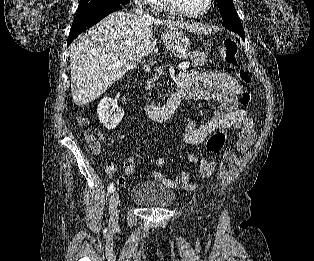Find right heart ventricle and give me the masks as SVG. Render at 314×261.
Wrapping results in <instances>:
<instances>
[{
  "instance_id": "e07e8e85",
  "label": "right heart ventricle",
  "mask_w": 314,
  "mask_h": 261,
  "mask_svg": "<svg viewBox=\"0 0 314 261\" xmlns=\"http://www.w3.org/2000/svg\"><path fill=\"white\" fill-rule=\"evenodd\" d=\"M154 9L158 10V11H164L166 10V6L164 5L163 1L161 0V2H159Z\"/></svg>"
}]
</instances>
